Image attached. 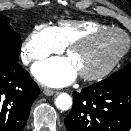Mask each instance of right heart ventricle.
<instances>
[{"label":"right heart ventricle","instance_id":"1","mask_svg":"<svg viewBox=\"0 0 131 131\" xmlns=\"http://www.w3.org/2000/svg\"><path fill=\"white\" fill-rule=\"evenodd\" d=\"M108 27L110 26L94 20H60L53 30L59 42L65 47L90 32Z\"/></svg>","mask_w":131,"mask_h":131}]
</instances>
